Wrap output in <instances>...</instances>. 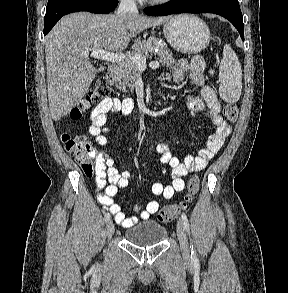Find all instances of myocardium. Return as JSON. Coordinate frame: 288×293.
Instances as JSON below:
<instances>
[{
  "label": "myocardium",
  "mask_w": 288,
  "mask_h": 293,
  "mask_svg": "<svg viewBox=\"0 0 288 293\" xmlns=\"http://www.w3.org/2000/svg\"><path fill=\"white\" fill-rule=\"evenodd\" d=\"M153 4H165L169 2L170 0H149Z\"/></svg>",
  "instance_id": "obj_1"
}]
</instances>
